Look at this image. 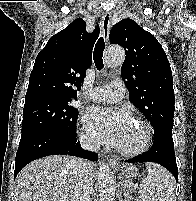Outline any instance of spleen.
Segmentation results:
<instances>
[{
    "label": "spleen",
    "mask_w": 196,
    "mask_h": 201,
    "mask_svg": "<svg viewBox=\"0 0 196 201\" xmlns=\"http://www.w3.org/2000/svg\"><path fill=\"white\" fill-rule=\"evenodd\" d=\"M147 177L140 184L137 201H175L174 180L158 164L146 163Z\"/></svg>",
    "instance_id": "obj_1"
}]
</instances>
